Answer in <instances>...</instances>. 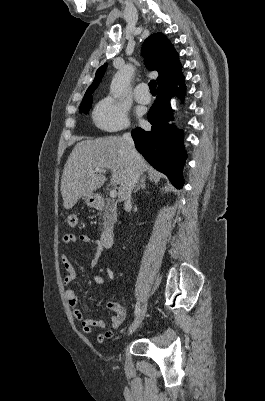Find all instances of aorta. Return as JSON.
Segmentation results:
<instances>
[{
    "label": "aorta",
    "instance_id": "762f6f07",
    "mask_svg": "<svg viewBox=\"0 0 265 401\" xmlns=\"http://www.w3.org/2000/svg\"><path fill=\"white\" fill-rule=\"evenodd\" d=\"M134 70L133 64H126L123 70L115 72L110 84V94L112 96H115V98L124 96L126 84H128Z\"/></svg>",
    "mask_w": 265,
    "mask_h": 401
}]
</instances>
